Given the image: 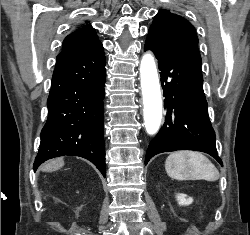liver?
Masks as SVG:
<instances>
[{"mask_svg": "<svg viewBox=\"0 0 250 235\" xmlns=\"http://www.w3.org/2000/svg\"><path fill=\"white\" fill-rule=\"evenodd\" d=\"M64 166L62 158L54 159L41 166V170L45 172H53Z\"/></svg>", "mask_w": 250, "mask_h": 235, "instance_id": "liver-1", "label": "liver"}]
</instances>
